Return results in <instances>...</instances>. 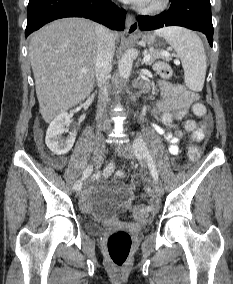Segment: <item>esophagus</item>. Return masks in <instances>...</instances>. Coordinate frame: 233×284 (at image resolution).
Masks as SVG:
<instances>
[{
  "instance_id": "1",
  "label": "esophagus",
  "mask_w": 233,
  "mask_h": 284,
  "mask_svg": "<svg viewBox=\"0 0 233 284\" xmlns=\"http://www.w3.org/2000/svg\"><path fill=\"white\" fill-rule=\"evenodd\" d=\"M139 26L134 15L128 13L126 16V31L129 34L138 32Z\"/></svg>"
}]
</instances>
